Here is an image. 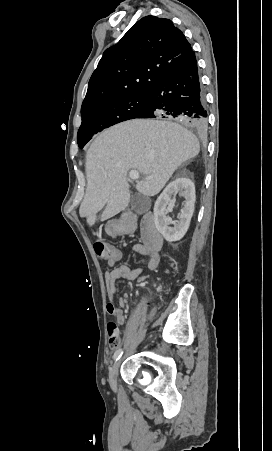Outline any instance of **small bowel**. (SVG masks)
Listing matches in <instances>:
<instances>
[{"mask_svg": "<svg viewBox=\"0 0 272 451\" xmlns=\"http://www.w3.org/2000/svg\"><path fill=\"white\" fill-rule=\"evenodd\" d=\"M137 250L143 255L148 257L147 268L151 271L158 269L160 265V254L159 251L153 253L146 249L144 246L137 247ZM121 259V253L115 257L107 259V265L113 267ZM142 274V273H141ZM141 274H138L135 269H130L127 265H120L118 267L109 269L105 272L104 281L106 292L108 296V302L106 304V311L108 314L113 316L118 325H124L126 318L123 309L126 307V300L123 297L118 298L117 296V286L116 281L119 279H129L134 280L138 278Z\"/></svg>", "mask_w": 272, "mask_h": 451, "instance_id": "c3829d8e", "label": "small bowel"}]
</instances>
